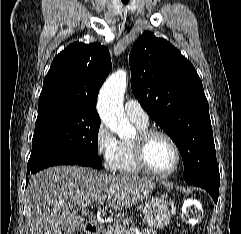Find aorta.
I'll return each mask as SVG.
<instances>
[{
	"mask_svg": "<svg viewBox=\"0 0 241 234\" xmlns=\"http://www.w3.org/2000/svg\"><path fill=\"white\" fill-rule=\"evenodd\" d=\"M126 86L127 74L119 69L105 81L98 96V112L101 120L121 139L131 138L136 133L123 109Z\"/></svg>",
	"mask_w": 241,
	"mask_h": 234,
	"instance_id": "1",
	"label": "aorta"
}]
</instances>
